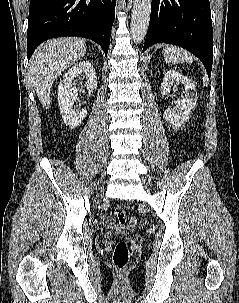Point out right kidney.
Wrapping results in <instances>:
<instances>
[{"instance_id":"ca27d5eb","label":"right kidney","mask_w":239,"mask_h":303,"mask_svg":"<svg viewBox=\"0 0 239 303\" xmlns=\"http://www.w3.org/2000/svg\"><path fill=\"white\" fill-rule=\"evenodd\" d=\"M79 74H85L87 79V87L96 89L97 77L95 68L89 61H82L75 64L64 75L58 87V103L60 113L64 123L71 129L76 128L87 116V110H73V104L78 97V89L73 85L72 80Z\"/></svg>"}]
</instances>
